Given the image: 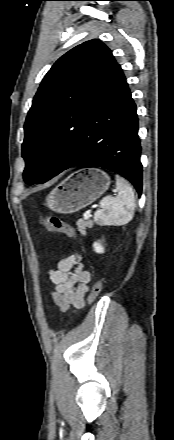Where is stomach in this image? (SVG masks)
<instances>
[{"label":"stomach","mask_w":174,"mask_h":440,"mask_svg":"<svg viewBox=\"0 0 174 440\" xmlns=\"http://www.w3.org/2000/svg\"><path fill=\"white\" fill-rule=\"evenodd\" d=\"M110 177L96 168L80 169L57 185L46 205L60 214H72L96 201L109 187Z\"/></svg>","instance_id":"1"}]
</instances>
